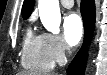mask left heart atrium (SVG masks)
<instances>
[{
	"label": "left heart atrium",
	"mask_w": 107,
	"mask_h": 75,
	"mask_svg": "<svg viewBox=\"0 0 107 75\" xmlns=\"http://www.w3.org/2000/svg\"><path fill=\"white\" fill-rule=\"evenodd\" d=\"M83 22L79 15L69 14L64 20V33L69 45H77L83 36Z\"/></svg>",
	"instance_id": "39dd6f15"
}]
</instances>
